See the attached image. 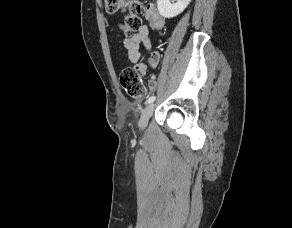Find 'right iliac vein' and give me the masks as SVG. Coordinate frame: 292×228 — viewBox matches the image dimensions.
Wrapping results in <instances>:
<instances>
[{
	"label": "right iliac vein",
	"instance_id": "63e3f726",
	"mask_svg": "<svg viewBox=\"0 0 292 228\" xmlns=\"http://www.w3.org/2000/svg\"><path fill=\"white\" fill-rule=\"evenodd\" d=\"M154 111V104L148 105L142 112L141 118L139 120V127L140 129H145L148 124L149 118L152 116Z\"/></svg>",
	"mask_w": 292,
	"mask_h": 228
}]
</instances>
